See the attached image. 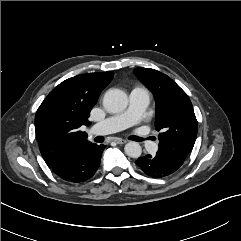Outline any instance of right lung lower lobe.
I'll use <instances>...</instances> for the list:
<instances>
[{"label":"right lung lower lobe","instance_id":"obj_1","mask_svg":"<svg viewBox=\"0 0 241 241\" xmlns=\"http://www.w3.org/2000/svg\"><path fill=\"white\" fill-rule=\"evenodd\" d=\"M104 145L89 143L66 149L49 168L61 179L79 183L91 178L97 171Z\"/></svg>","mask_w":241,"mask_h":241}]
</instances>
